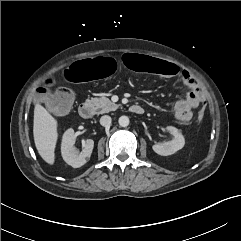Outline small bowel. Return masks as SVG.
<instances>
[{
	"mask_svg": "<svg viewBox=\"0 0 241 241\" xmlns=\"http://www.w3.org/2000/svg\"><path fill=\"white\" fill-rule=\"evenodd\" d=\"M162 62L172 64L165 61ZM179 77L190 88V92L175 103V116L180 122H188L192 118V110L205 101L206 93L198 80L187 70H181Z\"/></svg>",
	"mask_w": 241,
	"mask_h": 241,
	"instance_id": "obj_1",
	"label": "small bowel"
}]
</instances>
